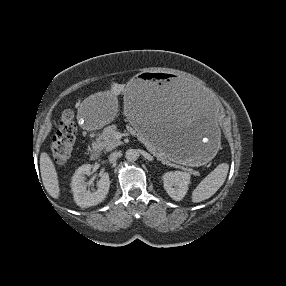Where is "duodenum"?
<instances>
[{"label": "duodenum", "instance_id": "1", "mask_svg": "<svg viewBox=\"0 0 286 286\" xmlns=\"http://www.w3.org/2000/svg\"><path fill=\"white\" fill-rule=\"evenodd\" d=\"M90 156L92 159H97L99 156V150L98 148H93L90 152Z\"/></svg>", "mask_w": 286, "mask_h": 286}]
</instances>
